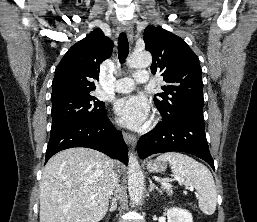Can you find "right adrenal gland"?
Masks as SVG:
<instances>
[{
  "label": "right adrenal gland",
  "instance_id": "2a0ac1e0",
  "mask_svg": "<svg viewBox=\"0 0 257 222\" xmlns=\"http://www.w3.org/2000/svg\"><path fill=\"white\" fill-rule=\"evenodd\" d=\"M117 200H118V197L115 196L114 199H113L112 205H111V207L109 209L110 211H113V210L116 209V207H117Z\"/></svg>",
  "mask_w": 257,
  "mask_h": 222
}]
</instances>
